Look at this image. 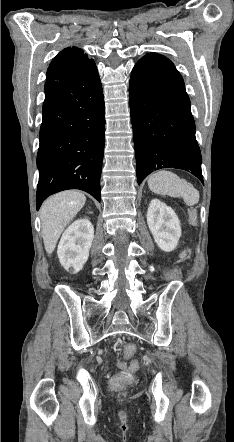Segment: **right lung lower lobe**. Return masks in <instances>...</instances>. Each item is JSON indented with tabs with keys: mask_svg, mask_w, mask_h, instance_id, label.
<instances>
[{
	"mask_svg": "<svg viewBox=\"0 0 234 442\" xmlns=\"http://www.w3.org/2000/svg\"><path fill=\"white\" fill-rule=\"evenodd\" d=\"M42 113L37 210L48 196L66 189L100 201L105 111L95 63L69 80L47 81Z\"/></svg>",
	"mask_w": 234,
	"mask_h": 442,
	"instance_id": "98d812e1",
	"label": "right lung lower lobe"
}]
</instances>
